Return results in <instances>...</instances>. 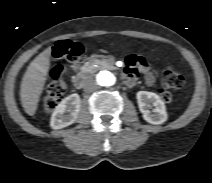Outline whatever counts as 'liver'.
Returning a JSON list of instances; mask_svg holds the SVG:
<instances>
[{
	"label": "liver",
	"mask_w": 212,
	"mask_h": 183,
	"mask_svg": "<svg viewBox=\"0 0 212 183\" xmlns=\"http://www.w3.org/2000/svg\"><path fill=\"white\" fill-rule=\"evenodd\" d=\"M50 54L51 48H47L40 53L28 66L21 82V104L30 116L35 114L40 96L44 90L50 67Z\"/></svg>",
	"instance_id": "6515ba94"
}]
</instances>
